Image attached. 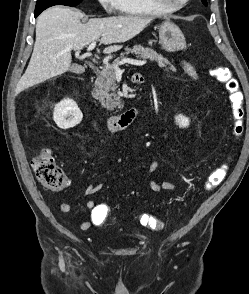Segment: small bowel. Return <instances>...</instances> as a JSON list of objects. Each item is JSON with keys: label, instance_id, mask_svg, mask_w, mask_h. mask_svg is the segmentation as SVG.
<instances>
[{"label": "small bowel", "instance_id": "obj_1", "mask_svg": "<svg viewBox=\"0 0 249 294\" xmlns=\"http://www.w3.org/2000/svg\"><path fill=\"white\" fill-rule=\"evenodd\" d=\"M180 66L183 69L184 73L191 79L196 81L197 74L194 68L188 62L181 60ZM159 161L152 160L149 164L147 174L145 176L144 182L148 184L149 188L154 192H163L170 191L176 188V184L170 181L154 179L152 175L159 168ZM102 189L101 183H93L88 185L84 193L87 196H92L98 193ZM86 209L90 212V220L83 221L80 223L81 230H88L92 225L94 226H102L106 223L108 213H106V205L97 203L94 199H89L85 203ZM59 209L63 213H69L72 210V206L69 203L61 202L59 204Z\"/></svg>", "mask_w": 249, "mask_h": 294}]
</instances>
